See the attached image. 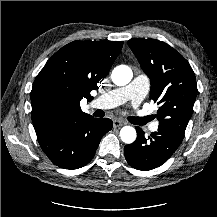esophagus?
I'll list each match as a JSON object with an SVG mask.
<instances>
[{
	"label": "esophagus",
	"mask_w": 217,
	"mask_h": 217,
	"mask_svg": "<svg viewBox=\"0 0 217 217\" xmlns=\"http://www.w3.org/2000/svg\"><path fill=\"white\" fill-rule=\"evenodd\" d=\"M123 124L124 123L120 120H117V119L113 120V126L114 127H121V126H123Z\"/></svg>",
	"instance_id": "obj_1"
}]
</instances>
